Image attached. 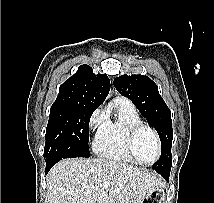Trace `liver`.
<instances>
[{"instance_id":"6515ba94","label":"liver","mask_w":214,"mask_h":203,"mask_svg":"<svg viewBox=\"0 0 214 203\" xmlns=\"http://www.w3.org/2000/svg\"><path fill=\"white\" fill-rule=\"evenodd\" d=\"M159 187L162 178L149 170L105 159H66L47 176V203H141Z\"/></svg>"}]
</instances>
